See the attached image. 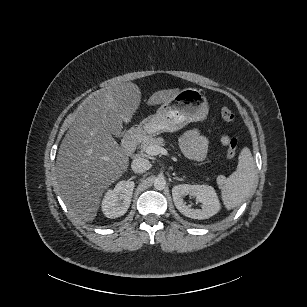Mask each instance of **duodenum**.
I'll return each instance as SVG.
<instances>
[{
	"mask_svg": "<svg viewBox=\"0 0 307 307\" xmlns=\"http://www.w3.org/2000/svg\"><path fill=\"white\" fill-rule=\"evenodd\" d=\"M144 136L145 132L140 128H134L127 132L123 140V148L125 153L127 155L132 154Z\"/></svg>",
	"mask_w": 307,
	"mask_h": 307,
	"instance_id": "410a0bca",
	"label": "duodenum"
}]
</instances>
